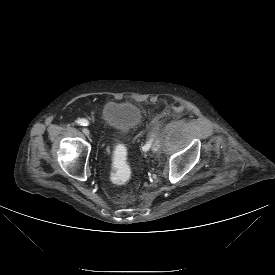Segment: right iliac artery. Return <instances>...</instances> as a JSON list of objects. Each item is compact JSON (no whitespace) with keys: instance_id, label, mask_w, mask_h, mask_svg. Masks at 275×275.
<instances>
[{"instance_id":"82829eb1","label":"right iliac artery","mask_w":275,"mask_h":275,"mask_svg":"<svg viewBox=\"0 0 275 275\" xmlns=\"http://www.w3.org/2000/svg\"><path fill=\"white\" fill-rule=\"evenodd\" d=\"M76 123H77L78 125H83V126H87V125L89 124V122H88L86 119H78V120L76 121Z\"/></svg>"}]
</instances>
